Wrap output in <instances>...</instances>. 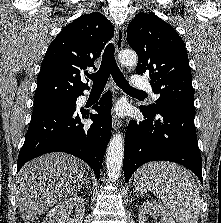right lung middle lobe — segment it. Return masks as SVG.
I'll return each mask as SVG.
<instances>
[{"label":"right lung middle lobe","instance_id":"1","mask_svg":"<svg viewBox=\"0 0 221 223\" xmlns=\"http://www.w3.org/2000/svg\"><path fill=\"white\" fill-rule=\"evenodd\" d=\"M76 99L77 98H70V99L59 100V101H54L50 103L34 105L32 114L40 113V112L47 111V110L57 108V107L74 106L76 105Z\"/></svg>","mask_w":221,"mask_h":223}]
</instances>
